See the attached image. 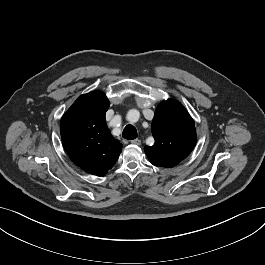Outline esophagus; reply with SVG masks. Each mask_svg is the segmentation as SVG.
I'll return each mask as SVG.
<instances>
[{
	"mask_svg": "<svg viewBox=\"0 0 265 265\" xmlns=\"http://www.w3.org/2000/svg\"><path fill=\"white\" fill-rule=\"evenodd\" d=\"M132 144L134 145H140L141 144V140L140 139H134L131 141Z\"/></svg>",
	"mask_w": 265,
	"mask_h": 265,
	"instance_id": "34e87169",
	"label": "esophagus"
}]
</instances>
